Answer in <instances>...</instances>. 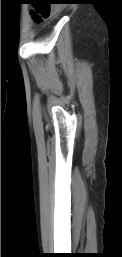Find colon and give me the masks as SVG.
I'll list each match as a JSON object with an SVG mask.
<instances>
[{"instance_id": "5ec220e1", "label": "colon", "mask_w": 122, "mask_h": 257, "mask_svg": "<svg viewBox=\"0 0 122 257\" xmlns=\"http://www.w3.org/2000/svg\"><path fill=\"white\" fill-rule=\"evenodd\" d=\"M53 10V5H35L33 17L37 22H42L49 16L50 11Z\"/></svg>"}]
</instances>
